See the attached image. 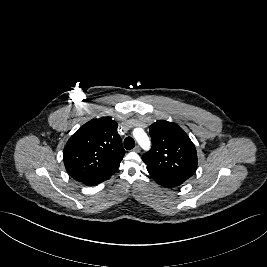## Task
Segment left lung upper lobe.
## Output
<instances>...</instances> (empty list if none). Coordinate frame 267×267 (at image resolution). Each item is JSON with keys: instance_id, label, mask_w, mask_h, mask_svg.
<instances>
[{"instance_id": "1", "label": "left lung upper lobe", "mask_w": 267, "mask_h": 267, "mask_svg": "<svg viewBox=\"0 0 267 267\" xmlns=\"http://www.w3.org/2000/svg\"><path fill=\"white\" fill-rule=\"evenodd\" d=\"M152 148L142 159L147 170L186 181L197 169V152L188 135L175 123L157 121L149 127Z\"/></svg>"}]
</instances>
